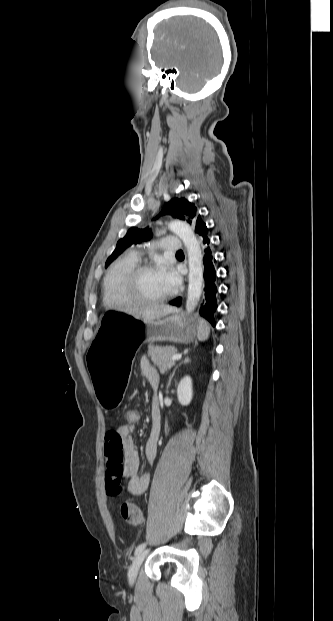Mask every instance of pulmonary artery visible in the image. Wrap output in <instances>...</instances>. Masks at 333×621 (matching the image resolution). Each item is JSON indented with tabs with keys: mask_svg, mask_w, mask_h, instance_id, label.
I'll use <instances>...</instances> for the list:
<instances>
[{
	"mask_svg": "<svg viewBox=\"0 0 333 621\" xmlns=\"http://www.w3.org/2000/svg\"><path fill=\"white\" fill-rule=\"evenodd\" d=\"M160 245L162 250L171 253L178 252L182 250L183 247L181 239L175 236H168L163 238L160 242ZM132 256L135 259L139 258V254L135 251L132 253Z\"/></svg>",
	"mask_w": 333,
	"mask_h": 621,
	"instance_id": "e3ab8cb5",
	"label": "pulmonary artery"
}]
</instances>
